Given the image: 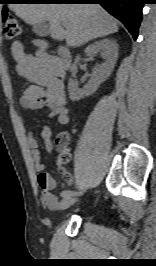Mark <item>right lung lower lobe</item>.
I'll return each instance as SVG.
<instances>
[{
    "label": "right lung lower lobe",
    "instance_id": "obj_1",
    "mask_svg": "<svg viewBox=\"0 0 156 266\" xmlns=\"http://www.w3.org/2000/svg\"><path fill=\"white\" fill-rule=\"evenodd\" d=\"M55 4H100L111 15L119 19L133 36L138 37L142 8L146 0H45Z\"/></svg>",
    "mask_w": 156,
    "mask_h": 266
}]
</instances>
